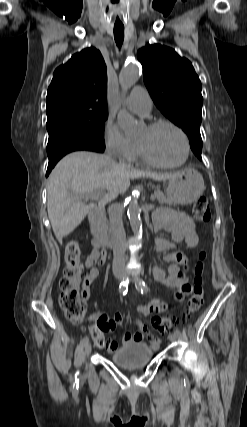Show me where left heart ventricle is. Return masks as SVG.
<instances>
[{
  "mask_svg": "<svg viewBox=\"0 0 247 427\" xmlns=\"http://www.w3.org/2000/svg\"><path fill=\"white\" fill-rule=\"evenodd\" d=\"M137 142L145 147L153 159L162 163H176L183 157L182 138L168 126L155 130H149L146 127L139 135Z\"/></svg>",
  "mask_w": 247,
  "mask_h": 427,
  "instance_id": "b2bd125f",
  "label": "left heart ventricle"
}]
</instances>
